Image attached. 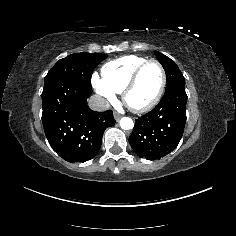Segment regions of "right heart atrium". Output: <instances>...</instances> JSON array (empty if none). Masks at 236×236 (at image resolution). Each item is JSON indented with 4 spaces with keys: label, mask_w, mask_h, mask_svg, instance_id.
Returning <instances> with one entry per match:
<instances>
[{
    "label": "right heart atrium",
    "mask_w": 236,
    "mask_h": 236,
    "mask_svg": "<svg viewBox=\"0 0 236 236\" xmlns=\"http://www.w3.org/2000/svg\"><path fill=\"white\" fill-rule=\"evenodd\" d=\"M91 84L95 92L103 101L113 102L116 99V93H114L105 85L102 78L97 73L92 74Z\"/></svg>",
    "instance_id": "1"
}]
</instances>
